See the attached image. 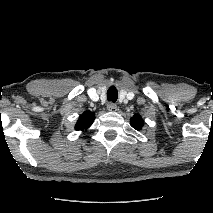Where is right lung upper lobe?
Here are the masks:
<instances>
[{
  "instance_id": "1",
  "label": "right lung upper lobe",
  "mask_w": 213,
  "mask_h": 213,
  "mask_svg": "<svg viewBox=\"0 0 213 213\" xmlns=\"http://www.w3.org/2000/svg\"><path fill=\"white\" fill-rule=\"evenodd\" d=\"M94 118H95L94 113H92L90 111L84 112L79 117V119L75 125V129L81 130V131L86 130L87 128H89L92 125Z\"/></svg>"
}]
</instances>
